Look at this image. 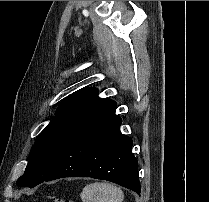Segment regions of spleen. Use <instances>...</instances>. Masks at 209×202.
I'll return each instance as SVG.
<instances>
[{"instance_id": "1", "label": "spleen", "mask_w": 209, "mask_h": 202, "mask_svg": "<svg viewBox=\"0 0 209 202\" xmlns=\"http://www.w3.org/2000/svg\"><path fill=\"white\" fill-rule=\"evenodd\" d=\"M80 197L83 202H122L123 191L109 183L95 182L86 185Z\"/></svg>"}]
</instances>
